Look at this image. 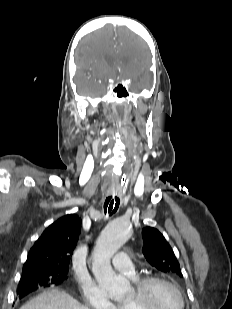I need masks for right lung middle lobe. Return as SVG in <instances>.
Masks as SVG:
<instances>
[{"instance_id": "obj_1", "label": "right lung middle lobe", "mask_w": 232, "mask_h": 309, "mask_svg": "<svg viewBox=\"0 0 232 309\" xmlns=\"http://www.w3.org/2000/svg\"><path fill=\"white\" fill-rule=\"evenodd\" d=\"M67 278V273L53 270L22 273L18 289L24 286L38 288L57 285Z\"/></svg>"}]
</instances>
